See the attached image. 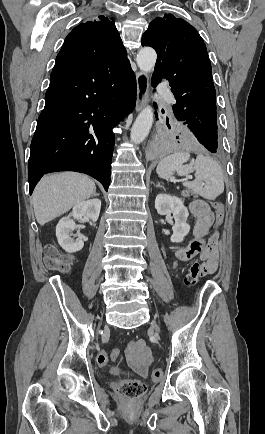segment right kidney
<instances>
[{"label":"right kidney","instance_id":"ca27d5eb","mask_svg":"<svg viewBox=\"0 0 265 434\" xmlns=\"http://www.w3.org/2000/svg\"><path fill=\"white\" fill-rule=\"evenodd\" d=\"M101 200H87V202H79L74 206L71 214L66 216V218H61L56 226V238L58 244L65 252L69 254H74V252H79L84 246L82 240L83 236L77 230L76 236L78 240L71 238L73 230H76L74 220H92V222H97L100 214Z\"/></svg>","mask_w":265,"mask_h":434}]
</instances>
